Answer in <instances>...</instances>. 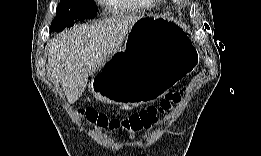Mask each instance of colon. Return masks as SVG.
I'll use <instances>...</instances> for the list:
<instances>
[{"instance_id":"1","label":"colon","mask_w":261,"mask_h":156,"mask_svg":"<svg viewBox=\"0 0 261 156\" xmlns=\"http://www.w3.org/2000/svg\"><path fill=\"white\" fill-rule=\"evenodd\" d=\"M182 94L183 90L171 92L158 105L148 106L124 117L108 118L106 115L98 113L93 109H86L83 112L90 122L97 124L101 128L124 130L133 134L151 128L157 122L158 114L164 113L173 104L178 103Z\"/></svg>"}]
</instances>
